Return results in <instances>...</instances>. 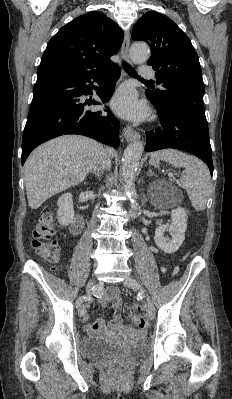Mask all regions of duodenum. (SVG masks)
<instances>
[{
  "instance_id": "duodenum-1",
  "label": "duodenum",
  "mask_w": 232,
  "mask_h": 399,
  "mask_svg": "<svg viewBox=\"0 0 232 399\" xmlns=\"http://www.w3.org/2000/svg\"><path fill=\"white\" fill-rule=\"evenodd\" d=\"M84 225H85V221H84L82 214L79 212L76 213L74 220L72 221V224L70 227L72 234H74V235L79 234L83 230Z\"/></svg>"
}]
</instances>
